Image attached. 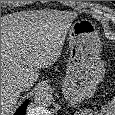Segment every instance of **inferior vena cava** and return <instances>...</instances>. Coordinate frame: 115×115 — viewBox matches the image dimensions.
<instances>
[{
  "mask_svg": "<svg viewBox=\"0 0 115 115\" xmlns=\"http://www.w3.org/2000/svg\"><path fill=\"white\" fill-rule=\"evenodd\" d=\"M24 85H25V84H24L23 81H18V82H16V84H15V89H19L20 91H22Z\"/></svg>",
  "mask_w": 115,
  "mask_h": 115,
  "instance_id": "1",
  "label": "inferior vena cava"
}]
</instances>
